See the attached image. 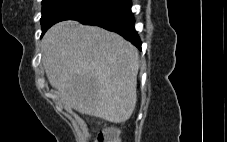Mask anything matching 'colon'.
I'll return each instance as SVG.
<instances>
[{"instance_id":"obj_1","label":"colon","mask_w":227,"mask_h":142,"mask_svg":"<svg viewBox=\"0 0 227 142\" xmlns=\"http://www.w3.org/2000/svg\"><path fill=\"white\" fill-rule=\"evenodd\" d=\"M119 132L116 128H108L99 133L95 142H119Z\"/></svg>"}]
</instances>
